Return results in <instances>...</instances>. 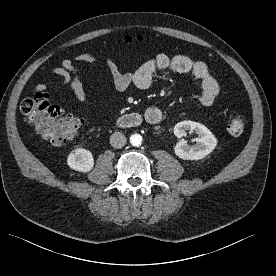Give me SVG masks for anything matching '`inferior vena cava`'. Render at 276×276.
<instances>
[{
	"label": "inferior vena cava",
	"instance_id": "inferior-vena-cava-1",
	"mask_svg": "<svg viewBox=\"0 0 276 276\" xmlns=\"http://www.w3.org/2000/svg\"><path fill=\"white\" fill-rule=\"evenodd\" d=\"M126 141L125 135L121 132H114L110 137V144L116 149L122 148Z\"/></svg>",
	"mask_w": 276,
	"mask_h": 276
}]
</instances>
